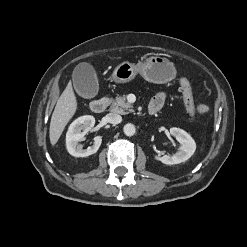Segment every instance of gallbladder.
<instances>
[{
	"label": "gallbladder",
	"instance_id": "1",
	"mask_svg": "<svg viewBox=\"0 0 247 247\" xmlns=\"http://www.w3.org/2000/svg\"><path fill=\"white\" fill-rule=\"evenodd\" d=\"M72 77L74 88L81 97L91 99L97 95L99 84L92 65L86 62L78 64Z\"/></svg>",
	"mask_w": 247,
	"mask_h": 247
}]
</instances>
